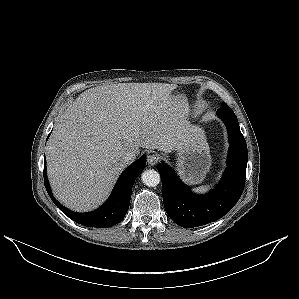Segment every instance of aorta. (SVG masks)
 Listing matches in <instances>:
<instances>
[{
  "label": "aorta",
  "instance_id": "obj_1",
  "mask_svg": "<svg viewBox=\"0 0 299 299\" xmlns=\"http://www.w3.org/2000/svg\"><path fill=\"white\" fill-rule=\"evenodd\" d=\"M141 178L143 183L149 187H155L160 183V175L154 169L145 170Z\"/></svg>",
  "mask_w": 299,
  "mask_h": 299
}]
</instances>
